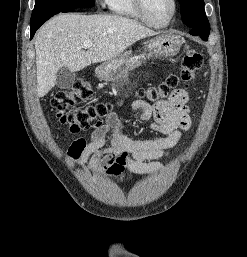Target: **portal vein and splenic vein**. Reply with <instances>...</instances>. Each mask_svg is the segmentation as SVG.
<instances>
[{
	"label": "portal vein and splenic vein",
	"instance_id": "18ae733b",
	"mask_svg": "<svg viewBox=\"0 0 247 257\" xmlns=\"http://www.w3.org/2000/svg\"><path fill=\"white\" fill-rule=\"evenodd\" d=\"M92 45H93V42L91 40H86V41L83 42L82 47L85 48V49H89V48L92 47Z\"/></svg>",
	"mask_w": 247,
	"mask_h": 257
}]
</instances>
